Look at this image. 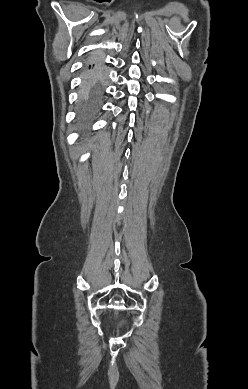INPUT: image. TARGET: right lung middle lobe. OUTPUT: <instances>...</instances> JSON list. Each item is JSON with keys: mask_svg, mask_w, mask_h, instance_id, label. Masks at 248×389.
Returning <instances> with one entry per match:
<instances>
[{"mask_svg": "<svg viewBox=\"0 0 248 389\" xmlns=\"http://www.w3.org/2000/svg\"><path fill=\"white\" fill-rule=\"evenodd\" d=\"M105 80L106 71L101 64H89L85 69L80 106V116L83 120L93 117L99 109Z\"/></svg>", "mask_w": 248, "mask_h": 389, "instance_id": "dd1d6c3e", "label": "right lung middle lobe"}]
</instances>
